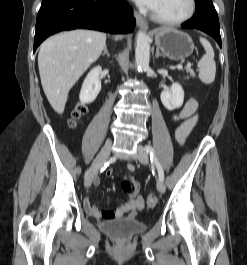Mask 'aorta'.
Instances as JSON below:
<instances>
[{"instance_id":"762f6f07","label":"aorta","mask_w":247,"mask_h":265,"mask_svg":"<svg viewBox=\"0 0 247 265\" xmlns=\"http://www.w3.org/2000/svg\"><path fill=\"white\" fill-rule=\"evenodd\" d=\"M150 45L148 36L140 31L136 38L135 60L139 70L149 67Z\"/></svg>"}]
</instances>
